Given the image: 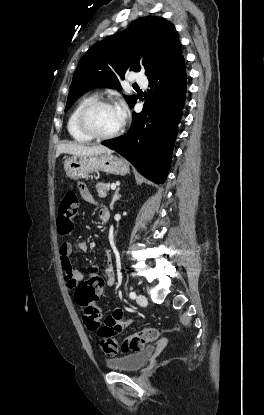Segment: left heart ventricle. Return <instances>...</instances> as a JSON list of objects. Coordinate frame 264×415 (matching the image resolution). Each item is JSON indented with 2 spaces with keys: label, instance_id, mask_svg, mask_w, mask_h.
Instances as JSON below:
<instances>
[{
  "label": "left heart ventricle",
  "instance_id": "obj_1",
  "mask_svg": "<svg viewBox=\"0 0 264 415\" xmlns=\"http://www.w3.org/2000/svg\"><path fill=\"white\" fill-rule=\"evenodd\" d=\"M88 120L97 133L106 135L116 131L123 119L115 106H103L94 110Z\"/></svg>",
  "mask_w": 264,
  "mask_h": 415
}]
</instances>
